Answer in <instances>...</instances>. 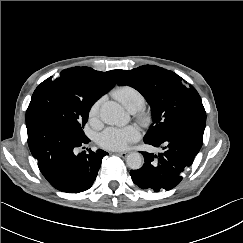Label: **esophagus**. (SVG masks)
I'll return each mask as SVG.
<instances>
[{
	"label": "esophagus",
	"mask_w": 243,
	"mask_h": 243,
	"mask_svg": "<svg viewBox=\"0 0 243 243\" xmlns=\"http://www.w3.org/2000/svg\"><path fill=\"white\" fill-rule=\"evenodd\" d=\"M119 156H121L122 158L127 157V155L129 154L128 151H123V152H116Z\"/></svg>",
	"instance_id": "34e87169"
}]
</instances>
